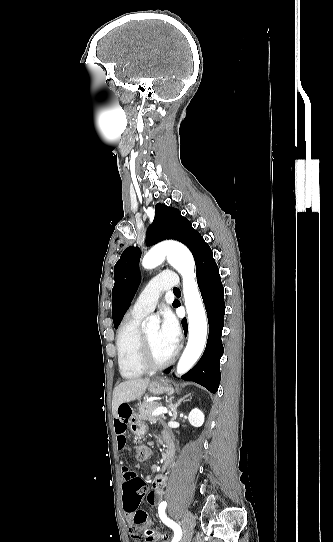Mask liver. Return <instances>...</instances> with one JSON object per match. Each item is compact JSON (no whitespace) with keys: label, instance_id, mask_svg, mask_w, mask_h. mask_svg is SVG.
<instances>
[{"label":"liver","instance_id":"1","mask_svg":"<svg viewBox=\"0 0 333 542\" xmlns=\"http://www.w3.org/2000/svg\"><path fill=\"white\" fill-rule=\"evenodd\" d=\"M150 382V378H133V380H127V382H122V384L116 386L113 390L112 398V414L114 418H117V410L120 404L140 400L141 396L145 394Z\"/></svg>","mask_w":333,"mask_h":542}]
</instances>
